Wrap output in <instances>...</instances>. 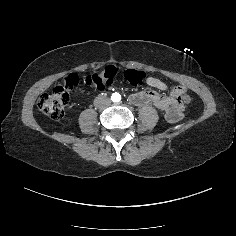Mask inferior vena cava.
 <instances>
[{
    "mask_svg": "<svg viewBox=\"0 0 236 236\" xmlns=\"http://www.w3.org/2000/svg\"><path fill=\"white\" fill-rule=\"evenodd\" d=\"M94 102H99V104H101L103 106L104 105L108 106V105H110L111 100L109 98H106V97L102 96V97H97Z\"/></svg>",
    "mask_w": 236,
    "mask_h": 236,
    "instance_id": "602c4592",
    "label": "inferior vena cava"
}]
</instances>
